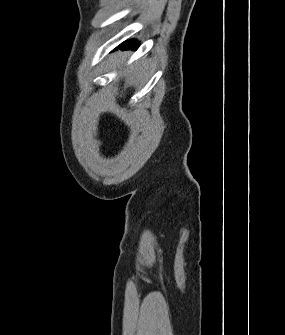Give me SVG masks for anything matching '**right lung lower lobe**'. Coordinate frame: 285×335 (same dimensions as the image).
I'll return each instance as SVG.
<instances>
[{
  "mask_svg": "<svg viewBox=\"0 0 285 335\" xmlns=\"http://www.w3.org/2000/svg\"><path fill=\"white\" fill-rule=\"evenodd\" d=\"M122 49H136L138 47V44L135 43L134 41H127V42H124L123 44H121L120 46Z\"/></svg>",
  "mask_w": 285,
  "mask_h": 335,
  "instance_id": "1",
  "label": "right lung lower lobe"
}]
</instances>
